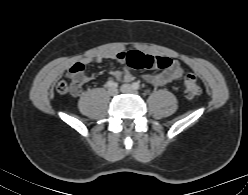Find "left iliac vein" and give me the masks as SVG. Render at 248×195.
I'll use <instances>...</instances> for the list:
<instances>
[{
  "label": "left iliac vein",
  "mask_w": 248,
  "mask_h": 195,
  "mask_svg": "<svg viewBox=\"0 0 248 195\" xmlns=\"http://www.w3.org/2000/svg\"><path fill=\"white\" fill-rule=\"evenodd\" d=\"M121 92L123 93H131V94H137L138 92L136 89H134L131 85L129 84H124L120 87Z\"/></svg>",
  "instance_id": "1"
}]
</instances>
